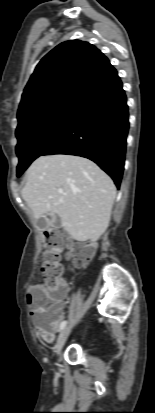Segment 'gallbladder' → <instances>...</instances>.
Masks as SVG:
<instances>
[{"label":"gallbladder","mask_w":155,"mask_h":413,"mask_svg":"<svg viewBox=\"0 0 155 413\" xmlns=\"http://www.w3.org/2000/svg\"><path fill=\"white\" fill-rule=\"evenodd\" d=\"M38 225H39V227H41V228H44V229H47V228H49V227H57V226H59L60 225V220L59 219H55V221L54 222H46L45 220H43V219H40L39 221H38Z\"/></svg>","instance_id":"gallbladder-1"}]
</instances>
